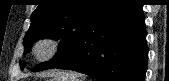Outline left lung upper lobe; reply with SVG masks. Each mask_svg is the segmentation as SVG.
<instances>
[{
  "label": "left lung upper lobe",
  "instance_id": "5c2ea615",
  "mask_svg": "<svg viewBox=\"0 0 169 81\" xmlns=\"http://www.w3.org/2000/svg\"><path fill=\"white\" fill-rule=\"evenodd\" d=\"M113 0H41L31 15V25L23 45L26 54L32 43L42 38L61 40L57 54L31 71L55 68L70 58L87 26L96 19ZM26 63L21 61L24 69Z\"/></svg>",
  "mask_w": 169,
  "mask_h": 81
}]
</instances>
